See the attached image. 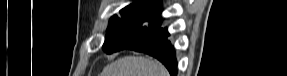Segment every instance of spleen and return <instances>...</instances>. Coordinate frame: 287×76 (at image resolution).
Here are the masks:
<instances>
[{"mask_svg":"<svg viewBox=\"0 0 287 76\" xmlns=\"http://www.w3.org/2000/svg\"><path fill=\"white\" fill-rule=\"evenodd\" d=\"M103 76H169L165 67L156 60L126 56L103 70Z\"/></svg>","mask_w":287,"mask_h":76,"instance_id":"obj_1","label":"spleen"}]
</instances>
